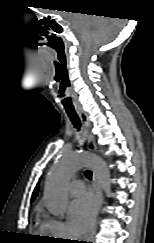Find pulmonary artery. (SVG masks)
Returning a JSON list of instances; mask_svg holds the SVG:
<instances>
[{"instance_id":"pulmonary-artery-1","label":"pulmonary artery","mask_w":154,"mask_h":243,"mask_svg":"<svg viewBox=\"0 0 154 243\" xmlns=\"http://www.w3.org/2000/svg\"><path fill=\"white\" fill-rule=\"evenodd\" d=\"M84 188V183L81 180H74L68 186V190L73 196L81 195L84 192Z\"/></svg>"}]
</instances>
